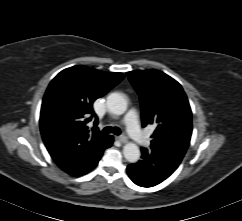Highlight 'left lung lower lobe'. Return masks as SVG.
<instances>
[{"label":"left lung lower lobe","mask_w":242,"mask_h":221,"mask_svg":"<svg viewBox=\"0 0 242 221\" xmlns=\"http://www.w3.org/2000/svg\"><path fill=\"white\" fill-rule=\"evenodd\" d=\"M141 160L127 166L130 179L141 187L155 186L167 179L181 161L157 149L141 148Z\"/></svg>","instance_id":"left-lung-lower-lobe-1"}]
</instances>
